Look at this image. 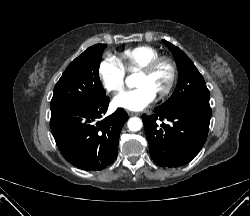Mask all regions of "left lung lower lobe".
I'll list each match as a JSON object with an SVG mask.
<instances>
[{
    "label": "left lung lower lobe",
    "mask_w": 250,
    "mask_h": 216,
    "mask_svg": "<svg viewBox=\"0 0 250 216\" xmlns=\"http://www.w3.org/2000/svg\"><path fill=\"white\" fill-rule=\"evenodd\" d=\"M143 115L150 155L161 167H177L190 162L203 147L211 114L196 108Z\"/></svg>",
    "instance_id": "obj_1"
}]
</instances>
